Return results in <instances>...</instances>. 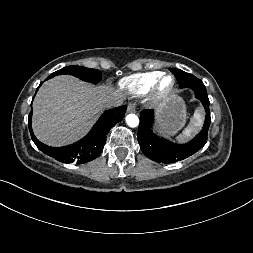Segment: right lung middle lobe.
Segmentation results:
<instances>
[{"instance_id":"right-lung-middle-lobe-1","label":"right lung middle lobe","mask_w":253,"mask_h":253,"mask_svg":"<svg viewBox=\"0 0 253 253\" xmlns=\"http://www.w3.org/2000/svg\"><path fill=\"white\" fill-rule=\"evenodd\" d=\"M60 74H70L75 77H78L84 81H88L91 83H96L101 80V72L96 69H89L81 66H68L64 67L50 75V77H54Z\"/></svg>"}]
</instances>
